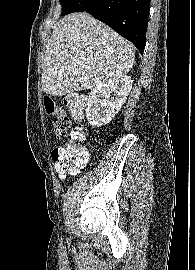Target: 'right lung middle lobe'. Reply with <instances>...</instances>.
I'll return each mask as SVG.
<instances>
[{
	"label": "right lung middle lobe",
	"instance_id": "1",
	"mask_svg": "<svg viewBox=\"0 0 195 270\" xmlns=\"http://www.w3.org/2000/svg\"><path fill=\"white\" fill-rule=\"evenodd\" d=\"M77 1L78 0H60V4L63 8L62 15L70 14Z\"/></svg>",
	"mask_w": 195,
	"mask_h": 270
}]
</instances>
